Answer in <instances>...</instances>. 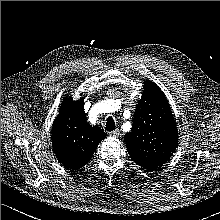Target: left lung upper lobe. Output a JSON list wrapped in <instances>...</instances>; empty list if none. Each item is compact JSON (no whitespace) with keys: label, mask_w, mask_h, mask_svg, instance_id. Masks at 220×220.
<instances>
[{"label":"left lung upper lobe","mask_w":220,"mask_h":220,"mask_svg":"<svg viewBox=\"0 0 220 220\" xmlns=\"http://www.w3.org/2000/svg\"><path fill=\"white\" fill-rule=\"evenodd\" d=\"M176 124L164 93L155 83L146 81L132 129L125 135L133 161L148 171L163 166L178 145Z\"/></svg>","instance_id":"1"}]
</instances>
